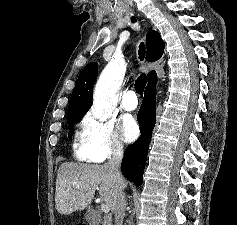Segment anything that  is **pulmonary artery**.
<instances>
[{
  "instance_id": "pulmonary-artery-1",
  "label": "pulmonary artery",
  "mask_w": 237,
  "mask_h": 225,
  "mask_svg": "<svg viewBox=\"0 0 237 225\" xmlns=\"http://www.w3.org/2000/svg\"><path fill=\"white\" fill-rule=\"evenodd\" d=\"M121 106L126 111H133L138 106V100L134 91H127L124 93Z\"/></svg>"
}]
</instances>
